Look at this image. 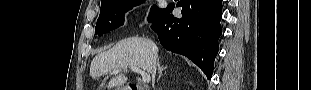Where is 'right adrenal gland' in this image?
<instances>
[{
    "instance_id": "right-adrenal-gland-1",
    "label": "right adrenal gland",
    "mask_w": 311,
    "mask_h": 90,
    "mask_svg": "<svg viewBox=\"0 0 311 90\" xmlns=\"http://www.w3.org/2000/svg\"><path fill=\"white\" fill-rule=\"evenodd\" d=\"M157 65H158V73H159V77H158L157 82H159V80L162 76V72L167 68V66H165V67L161 66L159 61L157 62Z\"/></svg>"
}]
</instances>
